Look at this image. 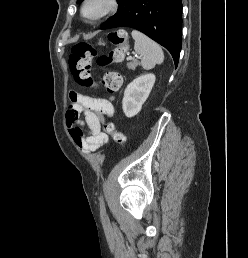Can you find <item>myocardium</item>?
Segmentation results:
<instances>
[{"label":"myocardium","instance_id":"obj_1","mask_svg":"<svg viewBox=\"0 0 248 258\" xmlns=\"http://www.w3.org/2000/svg\"><path fill=\"white\" fill-rule=\"evenodd\" d=\"M94 1L95 0H83L80 7V14L88 23H97L114 14L119 8L118 0H104V7L98 13L90 15L87 10L89 5Z\"/></svg>","mask_w":248,"mask_h":258}]
</instances>
